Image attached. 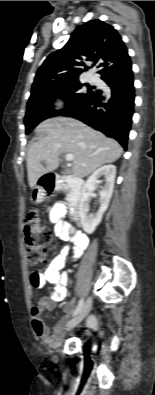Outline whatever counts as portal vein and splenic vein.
Wrapping results in <instances>:
<instances>
[{"mask_svg": "<svg viewBox=\"0 0 155 395\" xmlns=\"http://www.w3.org/2000/svg\"><path fill=\"white\" fill-rule=\"evenodd\" d=\"M65 159H66L67 161H72V160L74 159V156H73V154H67V155L65 156Z\"/></svg>", "mask_w": 155, "mask_h": 395, "instance_id": "portal-vein-and-splenic-vein-1", "label": "portal vein and splenic vein"}]
</instances>
